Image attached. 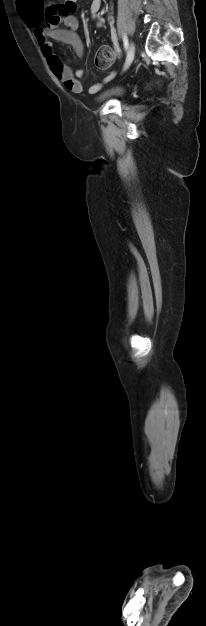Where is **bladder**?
<instances>
[{
    "label": "bladder",
    "instance_id": "1",
    "mask_svg": "<svg viewBox=\"0 0 206 626\" xmlns=\"http://www.w3.org/2000/svg\"><path fill=\"white\" fill-rule=\"evenodd\" d=\"M122 95V90L119 88H113L107 92H105L102 97H120Z\"/></svg>",
    "mask_w": 206,
    "mask_h": 626
}]
</instances>
